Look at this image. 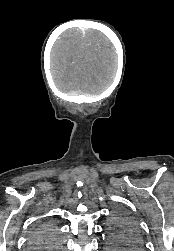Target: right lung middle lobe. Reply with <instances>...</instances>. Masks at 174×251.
<instances>
[{
	"label": "right lung middle lobe",
	"instance_id": "right-lung-middle-lobe-1",
	"mask_svg": "<svg viewBox=\"0 0 174 251\" xmlns=\"http://www.w3.org/2000/svg\"><path fill=\"white\" fill-rule=\"evenodd\" d=\"M56 228L50 223H39L31 235L29 246L32 250L56 251L59 242L55 239Z\"/></svg>",
	"mask_w": 174,
	"mask_h": 251
}]
</instances>
